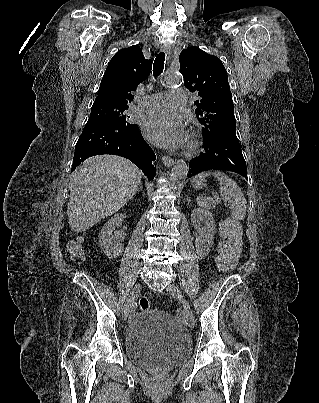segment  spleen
Returning a JSON list of instances; mask_svg holds the SVG:
<instances>
[{"instance_id":"obj_1","label":"spleen","mask_w":319,"mask_h":403,"mask_svg":"<svg viewBox=\"0 0 319 403\" xmlns=\"http://www.w3.org/2000/svg\"><path fill=\"white\" fill-rule=\"evenodd\" d=\"M213 175L219 182L221 198L231 204V217L235 221L245 218L247 210V201L244 193L238 184L223 172H202L195 179H204L207 176ZM198 205L204 209H214L216 202L213 198L207 196H198L196 199Z\"/></svg>"}]
</instances>
